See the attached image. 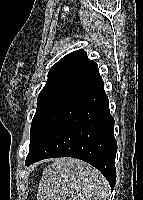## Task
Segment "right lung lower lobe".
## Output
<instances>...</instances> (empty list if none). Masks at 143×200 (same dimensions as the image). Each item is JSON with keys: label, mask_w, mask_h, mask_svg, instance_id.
<instances>
[{"label": "right lung lower lobe", "mask_w": 143, "mask_h": 200, "mask_svg": "<svg viewBox=\"0 0 143 200\" xmlns=\"http://www.w3.org/2000/svg\"><path fill=\"white\" fill-rule=\"evenodd\" d=\"M114 119L97 64L65 78L36 111L27 166L46 158L74 157L116 182Z\"/></svg>", "instance_id": "obj_1"}]
</instances>
